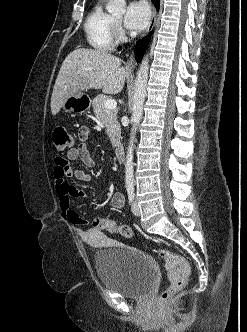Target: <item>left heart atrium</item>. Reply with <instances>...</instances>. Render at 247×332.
I'll return each instance as SVG.
<instances>
[{"mask_svg":"<svg viewBox=\"0 0 247 332\" xmlns=\"http://www.w3.org/2000/svg\"><path fill=\"white\" fill-rule=\"evenodd\" d=\"M150 19V8L148 4L143 1L131 2L126 10L124 17V25L130 31L143 30Z\"/></svg>","mask_w":247,"mask_h":332,"instance_id":"1","label":"left heart atrium"}]
</instances>
